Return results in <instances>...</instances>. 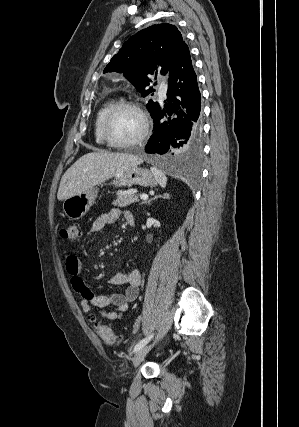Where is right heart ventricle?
<instances>
[{"instance_id": "right-heart-ventricle-1", "label": "right heart ventricle", "mask_w": 299, "mask_h": 427, "mask_svg": "<svg viewBox=\"0 0 299 427\" xmlns=\"http://www.w3.org/2000/svg\"><path fill=\"white\" fill-rule=\"evenodd\" d=\"M115 104L113 99L105 101L97 110L95 120H94V138L95 142L98 146L102 148H107L108 144L105 142L102 135V124L107 112L112 108Z\"/></svg>"}]
</instances>
